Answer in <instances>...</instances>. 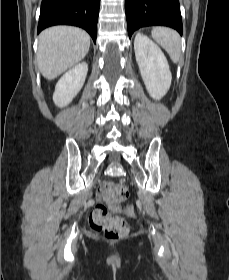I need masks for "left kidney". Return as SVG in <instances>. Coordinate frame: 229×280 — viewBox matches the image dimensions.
I'll use <instances>...</instances> for the list:
<instances>
[{
	"mask_svg": "<svg viewBox=\"0 0 229 280\" xmlns=\"http://www.w3.org/2000/svg\"><path fill=\"white\" fill-rule=\"evenodd\" d=\"M134 50L141 77L149 95L160 100L171 86L172 74L164 53L147 36L138 33Z\"/></svg>",
	"mask_w": 229,
	"mask_h": 280,
	"instance_id": "1",
	"label": "left kidney"
}]
</instances>
